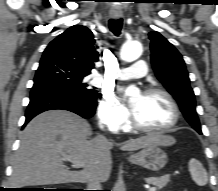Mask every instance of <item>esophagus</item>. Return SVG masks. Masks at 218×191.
<instances>
[{
	"mask_svg": "<svg viewBox=\"0 0 218 191\" xmlns=\"http://www.w3.org/2000/svg\"><path fill=\"white\" fill-rule=\"evenodd\" d=\"M111 16L115 19H119L122 17V11L120 10V8L115 7L111 10Z\"/></svg>",
	"mask_w": 218,
	"mask_h": 191,
	"instance_id": "1",
	"label": "esophagus"
}]
</instances>
